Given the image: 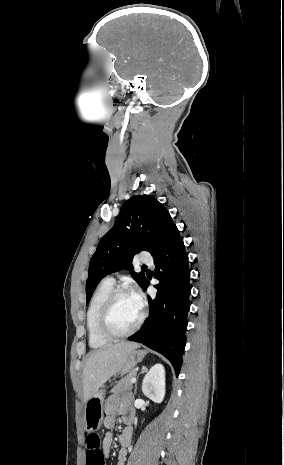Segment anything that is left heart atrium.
Wrapping results in <instances>:
<instances>
[{"instance_id": "left-heart-atrium-1", "label": "left heart atrium", "mask_w": 284, "mask_h": 465, "mask_svg": "<svg viewBox=\"0 0 284 465\" xmlns=\"http://www.w3.org/2000/svg\"><path fill=\"white\" fill-rule=\"evenodd\" d=\"M133 297L135 298V300H136L139 304L142 303V296H141V294H140L139 292H134Z\"/></svg>"}]
</instances>
